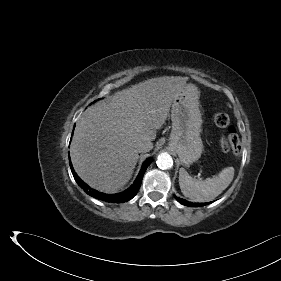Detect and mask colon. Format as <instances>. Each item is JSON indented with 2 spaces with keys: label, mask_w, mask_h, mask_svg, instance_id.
Masks as SVG:
<instances>
[{
  "label": "colon",
  "mask_w": 281,
  "mask_h": 281,
  "mask_svg": "<svg viewBox=\"0 0 281 281\" xmlns=\"http://www.w3.org/2000/svg\"><path fill=\"white\" fill-rule=\"evenodd\" d=\"M213 122L220 128L227 130L226 136L220 142V149L224 152L231 151L233 154L240 153V139L236 129L230 125L227 114L218 112L213 115Z\"/></svg>",
  "instance_id": "1"
}]
</instances>
